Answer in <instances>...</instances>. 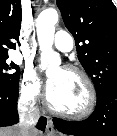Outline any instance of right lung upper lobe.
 Instances as JSON below:
<instances>
[{
  "mask_svg": "<svg viewBox=\"0 0 117 136\" xmlns=\"http://www.w3.org/2000/svg\"><path fill=\"white\" fill-rule=\"evenodd\" d=\"M22 10L21 0H0V57L8 56L19 42Z\"/></svg>",
  "mask_w": 117,
  "mask_h": 136,
  "instance_id": "right-lung-upper-lobe-1",
  "label": "right lung upper lobe"
}]
</instances>
